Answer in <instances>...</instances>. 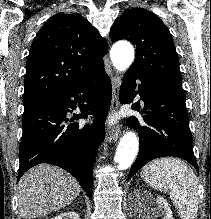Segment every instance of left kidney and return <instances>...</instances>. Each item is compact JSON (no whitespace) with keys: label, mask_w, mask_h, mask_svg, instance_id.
I'll return each instance as SVG.
<instances>
[{"label":"left kidney","mask_w":211,"mask_h":219,"mask_svg":"<svg viewBox=\"0 0 211 219\" xmlns=\"http://www.w3.org/2000/svg\"><path fill=\"white\" fill-rule=\"evenodd\" d=\"M143 194H145L144 196H146L148 200H151V202H147V204L154 205V208H151L150 210L144 213L145 219H156L159 216H162L163 219H174L172 211L167 201L163 197L158 196L156 199H152L151 195L147 191H144ZM141 204H146V201L142 202Z\"/></svg>","instance_id":"1"}]
</instances>
